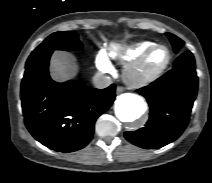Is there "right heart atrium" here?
<instances>
[{"label": "right heart atrium", "instance_id": "d8ad5b80", "mask_svg": "<svg viewBox=\"0 0 212 183\" xmlns=\"http://www.w3.org/2000/svg\"><path fill=\"white\" fill-rule=\"evenodd\" d=\"M97 65L101 71H109L110 65L106 59V57L103 54H99L97 57Z\"/></svg>", "mask_w": 212, "mask_h": 183}]
</instances>
